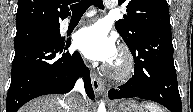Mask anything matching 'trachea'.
<instances>
[{"label":"trachea","instance_id":"3493384b","mask_svg":"<svg viewBox=\"0 0 193 112\" xmlns=\"http://www.w3.org/2000/svg\"><path fill=\"white\" fill-rule=\"evenodd\" d=\"M90 5H95L100 9H104L101 0H81L78 4L72 5L71 10L74 14H83Z\"/></svg>","mask_w":193,"mask_h":112}]
</instances>
